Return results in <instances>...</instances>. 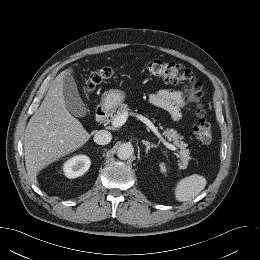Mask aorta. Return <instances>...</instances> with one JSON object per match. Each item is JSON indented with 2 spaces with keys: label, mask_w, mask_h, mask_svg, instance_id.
I'll return each instance as SVG.
<instances>
[{
  "label": "aorta",
  "mask_w": 260,
  "mask_h": 260,
  "mask_svg": "<svg viewBox=\"0 0 260 260\" xmlns=\"http://www.w3.org/2000/svg\"><path fill=\"white\" fill-rule=\"evenodd\" d=\"M134 152V148L130 143H123L118 147L117 156L121 160L129 159Z\"/></svg>",
  "instance_id": "762f6f07"
}]
</instances>
